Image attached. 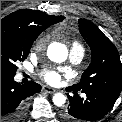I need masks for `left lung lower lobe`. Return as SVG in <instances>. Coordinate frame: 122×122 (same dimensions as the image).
Masks as SVG:
<instances>
[{"label": "left lung lower lobe", "mask_w": 122, "mask_h": 122, "mask_svg": "<svg viewBox=\"0 0 122 122\" xmlns=\"http://www.w3.org/2000/svg\"><path fill=\"white\" fill-rule=\"evenodd\" d=\"M68 91H73L77 95V91L70 87ZM86 98L82 99L78 96L71 97L69 95L70 104L67 109L62 112V117L66 122H88L95 121L105 116L113 107L117 100V96L100 91L84 92Z\"/></svg>", "instance_id": "obj_1"}]
</instances>
